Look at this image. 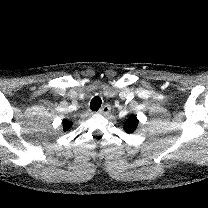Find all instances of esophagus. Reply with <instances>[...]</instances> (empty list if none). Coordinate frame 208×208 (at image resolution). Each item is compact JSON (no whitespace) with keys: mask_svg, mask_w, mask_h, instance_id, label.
<instances>
[{"mask_svg":"<svg viewBox=\"0 0 208 208\" xmlns=\"http://www.w3.org/2000/svg\"><path fill=\"white\" fill-rule=\"evenodd\" d=\"M110 111H111L110 105L109 104H105V105L102 106V108H100L98 110V114L106 116V115H108L110 113Z\"/></svg>","mask_w":208,"mask_h":208,"instance_id":"esophagus-1","label":"esophagus"}]
</instances>
